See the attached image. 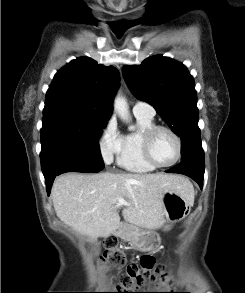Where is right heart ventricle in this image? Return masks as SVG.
I'll return each instance as SVG.
<instances>
[{
	"label": "right heart ventricle",
	"mask_w": 245,
	"mask_h": 293,
	"mask_svg": "<svg viewBox=\"0 0 245 293\" xmlns=\"http://www.w3.org/2000/svg\"><path fill=\"white\" fill-rule=\"evenodd\" d=\"M135 118L137 121V128L123 135L122 147L117 155V165L128 172H152L156 168L149 164L143 156L141 137L144 131L155 125L154 116L139 114L135 115Z\"/></svg>",
	"instance_id": "1"
}]
</instances>
